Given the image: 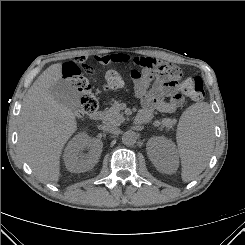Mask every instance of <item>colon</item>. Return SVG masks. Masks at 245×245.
I'll return each instance as SVG.
<instances>
[{
  "mask_svg": "<svg viewBox=\"0 0 245 245\" xmlns=\"http://www.w3.org/2000/svg\"><path fill=\"white\" fill-rule=\"evenodd\" d=\"M81 67L88 73L94 70L84 65L82 59L67 63L63 68V77L79 92L80 104L76 111L79 117L92 114L98 108L96 97L91 92L89 80L82 74ZM158 77L178 84L181 92L193 101H200L204 97L203 81L200 77H188L182 79V72L179 67L161 62L154 63L153 78ZM124 85V79L116 70H109L104 77V88L116 90Z\"/></svg>",
  "mask_w": 245,
  "mask_h": 245,
  "instance_id": "5ec220e1",
  "label": "colon"
}]
</instances>
